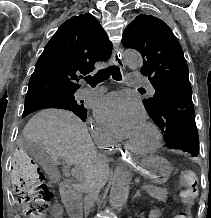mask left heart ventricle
Returning a JSON list of instances; mask_svg holds the SVG:
<instances>
[{"label":"left heart ventricle","mask_w":211,"mask_h":218,"mask_svg":"<svg viewBox=\"0 0 211 218\" xmlns=\"http://www.w3.org/2000/svg\"><path fill=\"white\" fill-rule=\"evenodd\" d=\"M128 141L135 146L147 147L152 143L153 136L146 125H144L137 133L131 136Z\"/></svg>","instance_id":"left-heart-ventricle-1"}]
</instances>
